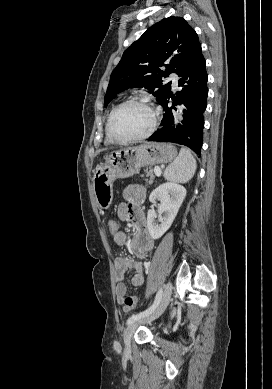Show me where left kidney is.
<instances>
[{
    "instance_id": "1",
    "label": "left kidney",
    "mask_w": 272,
    "mask_h": 389,
    "mask_svg": "<svg viewBox=\"0 0 272 389\" xmlns=\"http://www.w3.org/2000/svg\"><path fill=\"white\" fill-rule=\"evenodd\" d=\"M185 196V187L174 182L163 183L151 192L149 201L155 203L159 200L158 212L164 213V217H158L160 224L156 222L155 211L149 210L147 213V227L153 239H159L171 227Z\"/></svg>"
}]
</instances>
